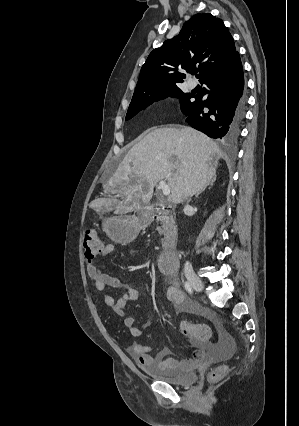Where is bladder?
Wrapping results in <instances>:
<instances>
[{
    "label": "bladder",
    "mask_w": 299,
    "mask_h": 426,
    "mask_svg": "<svg viewBox=\"0 0 299 426\" xmlns=\"http://www.w3.org/2000/svg\"><path fill=\"white\" fill-rule=\"evenodd\" d=\"M141 369L147 375L169 384L187 386L197 380V373L194 370L159 369L152 366L142 365Z\"/></svg>",
    "instance_id": "obj_1"
}]
</instances>
